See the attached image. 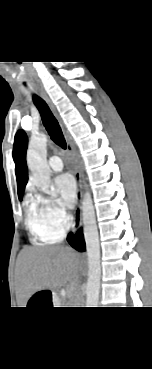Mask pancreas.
<instances>
[{"instance_id":"obj_1","label":"pancreas","mask_w":152,"mask_h":369,"mask_svg":"<svg viewBox=\"0 0 152 369\" xmlns=\"http://www.w3.org/2000/svg\"><path fill=\"white\" fill-rule=\"evenodd\" d=\"M72 295H70V297H71ZM71 302L72 303H74V304H79V302H80V299L77 297V298H73L72 300H71Z\"/></svg>"}]
</instances>
